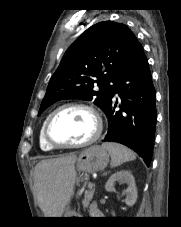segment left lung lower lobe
<instances>
[{"instance_id": "obj_1", "label": "left lung lower lobe", "mask_w": 181, "mask_h": 227, "mask_svg": "<svg viewBox=\"0 0 181 227\" xmlns=\"http://www.w3.org/2000/svg\"><path fill=\"white\" fill-rule=\"evenodd\" d=\"M116 92L121 99L120 110L115 111L117 102L112 101L105 111L109 129L103 141L128 146L149 166L157 121L156 92L141 44L119 78Z\"/></svg>"}]
</instances>
